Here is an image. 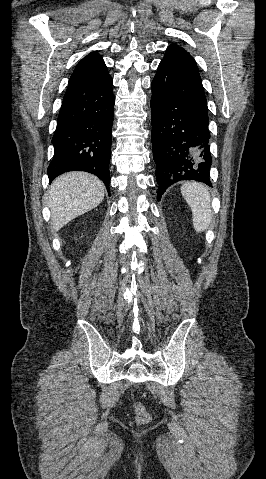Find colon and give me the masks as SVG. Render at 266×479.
<instances>
[{"label": "colon", "mask_w": 266, "mask_h": 479, "mask_svg": "<svg viewBox=\"0 0 266 479\" xmlns=\"http://www.w3.org/2000/svg\"><path fill=\"white\" fill-rule=\"evenodd\" d=\"M134 412L135 419L138 424H146L151 419L150 413L141 403H135Z\"/></svg>", "instance_id": "5ec220e1"}]
</instances>
